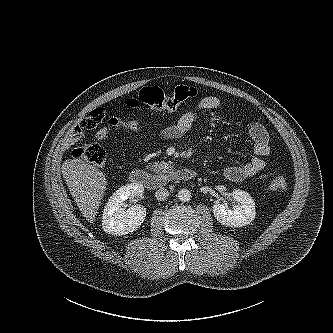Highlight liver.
Returning <instances> with one entry per match:
<instances>
[{
    "mask_svg": "<svg viewBox=\"0 0 333 333\" xmlns=\"http://www.w3.org/2000/svg\"><path fill=\"white\" fill-rule=\"evenodd\" d=\"M61 169L79 210L88 222L93 223L106 190L104 173L81 159H68Z\"/></svg>",
    "mask_w": 333,
    "mask_h": 333,
    "instance_id": "obj_1",
    "label": "liver"
}]
</instances>
